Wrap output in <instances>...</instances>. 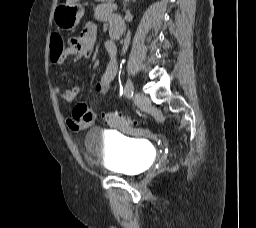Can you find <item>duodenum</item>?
I'll list each match as a JSON object with an SVG mask.
<instances>
[{"label":"duodenum","instance_id":"obj_1","mask_svg":"<svg viewBox=\"0 0 256 228\" xmlns=\"http://www.w3.org/2000/svg\"><path fill=\"white\" fill-rule=\"evenodd\" d=\"M110 36L114 40H118L122 37L123 35V24L121 21L114 22L110 25Z\"/></svg>","mask_w":256,"mask_h":228}]
</instances>
